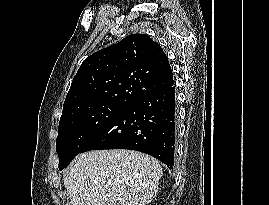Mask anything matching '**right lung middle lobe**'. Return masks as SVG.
Returning <instances> with one entry per match:
<instances>
[{
    "label": "right lung middle lobe",
    "instance_id": "right-lung-middle-lobe-1",
    "mask_svg": "<svg viewBox=\"0 0 269 205\" xmlns=\"http://www.w3.org/2000/svg\"><path fill=\"white\" fill-rule=\"evenodd\" d=\"M127 106L129 105L116 102L97 103L62 117L56 139L59 169L65 168L89 141Z\"/></svg>",
    "mask_w": 269,
    "mask_h": 205
}]
</instances>
